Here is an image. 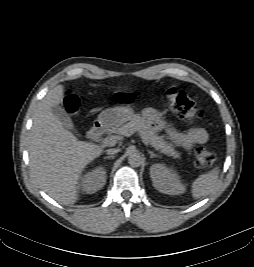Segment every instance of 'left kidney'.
Here are the masks:
<instances>
[{"instance_id": "5707ae66", "label": "left kidney", "mask_w": 254, "mask_h": 267, "mask_svg": "<svg viewBox=\"0 0 254 267\" xmlns=\"http://www.w3.org/2000/svg\"><path fill=\"white\" fill-rule=\"evenodd\" d=\"M150 177L155 189L161 193L179 195L185 192V186L177 172L167 168L164 164H153L150 167Z\"/></svg>"}]
</instances>
